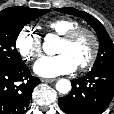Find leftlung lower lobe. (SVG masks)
<instances>
[{"instance_id": "0a47b994", "label": "left lung lower lobe", "mask_w": 114, "mask_h": 114, "mask_svg": "<svg viewBox=\"0 0 114 114\" xmlns=\"http://www.w3.org/2000/svg\"><path fill=\"white\" fill-rule=\"evenodd\" d=\"M71 84V92L59 98L60 108L68 114H101L114 97V68L91 70Z\"/></svg>"}]
</instances>
